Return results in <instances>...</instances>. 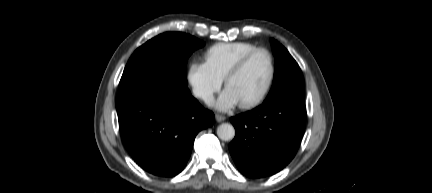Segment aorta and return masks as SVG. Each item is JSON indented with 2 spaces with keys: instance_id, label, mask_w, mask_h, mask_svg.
<instances>
[{
  "instance_id": "762f6f07",
  "label": "aorta",
  "mask_w": 432,
  "mask_h": 193,
  "mask_svg": "<svg viewBox=\"0 0 432 193\" xmlns=\"http://www.w3.org/2000/svg\"><path fill=\"white\" fill-rule=\"evenodd\" d=\"M217 136L223 141H230L235 136V129L229 123H222L217 127Z\"/></svg>"
}]
</instances>
